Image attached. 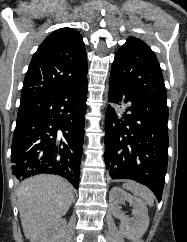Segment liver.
I'll use <instances>...</instances> for the list:
<instances>
[{"label":"liver","instance_id":"obj_1","mask_svg":"<svg viewBox=\"0 0 187 242\" xmlns=\"http://www.w3.org/2000/svg\"><path fill=\"white\" fill-rule=\"evenodd\" d=\"M18 207L24 235L31 242L67 213L74 198L73 187L59 176L37 175L20 183Z\"/></svg>","mask_w":187,"mask_h":242}]
</instances>
